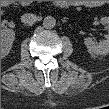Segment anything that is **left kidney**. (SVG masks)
<instances>
[{"label": "left kidney", "instance_id": "5707ae66", "mask_svg": "<svg viewBox=\"0 0 109 109\" xmlns=\"http://www.w3.org/2000/svg\"><path fill=\"white\" fill-rule=\"evenodd\" d=\"M101 22L104 24H109L108 17L101 18ZM84 43L89 53L106 55L109 52V36H106V40L99 43L95 42L92 38L87 37L84 39Z\"/></svg>", "mask_w": 109, "mask_h": 109}]
</instances>
